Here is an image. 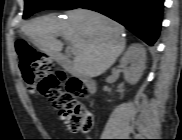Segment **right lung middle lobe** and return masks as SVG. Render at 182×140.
Listing matches in <instances>:
<instances>
[{"instance_id": "right-lung-middle-lobe-1", "label": "right lung middle lobe", "mask_w": 182, "mask_h": 140, "mask_svg": "<svg viewBox=\"0 0 182 140\" xmlns=\"http://www.w3.org/2000/svg\"><path fill=\"white\" fill-rule=\"evenodd\" d=\"M89 0H25L23 18H28L38 11L46 9H75L82 6Z\"/></svg>"}]
</instances>
